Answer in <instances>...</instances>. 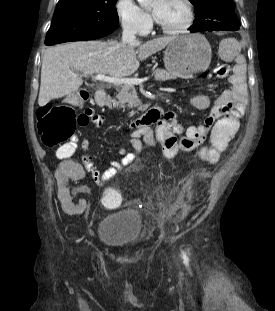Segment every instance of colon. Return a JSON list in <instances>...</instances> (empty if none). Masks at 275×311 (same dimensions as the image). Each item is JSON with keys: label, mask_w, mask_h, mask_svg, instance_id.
<instances>
[{"label": "colon", "mask_w": 275, "mask_h": 311, "mask_svg": "<svg viewBox=\"0 0 275 311\" xmlns=\"http://www.w3.org/2000/svg\"><path fill=\"white\" fill-rule=\"evenodd\" d=\"M229 67L219 64L215 74L220 77L227 76ZM74 100L80 101L85 98L81 93L74 96ZM37 128L40 140L47 147H59L58 155L70 157L75 152V144L70 140L76 127L86 126L90 123V115L85 110L77 113L73 107L68 105H46L37 112ZM212 145L202 153V159L209 164L216 163L222 152L226 150L231 138L237 130H242L240 118H217ZM103 201L109 207L118 205L119 197L113 186H103Z\"/></svg>", "instance_id": "colon-1"}]
</instances>
